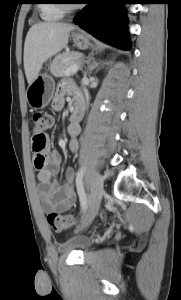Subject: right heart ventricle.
Here are the masks:
<instances>
[{
  "label": "right heart ventricle",
  "instance_id": "obj_1",
  "mask_svg": "<svg viewBox=\"0 0 181 300\" xmlns=\"http://www.w3.org/2000/svg\"><path fill=\"white\" fill-rule=\"evenodd\" d=\"M56 2V0H43L39 5V14L44 21L55 22L63 17L64 11Z\"/></svg>",
  "mask_w": 181,
  "mask_h": 300
}]
</instances>
